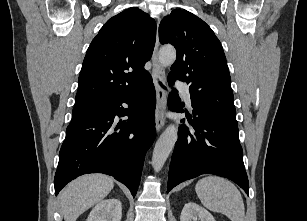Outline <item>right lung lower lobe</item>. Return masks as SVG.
<instances>
[{
    "label": "right lung lower lobe",
    "mask_w": 307,
    "mask_h": 221,
    "mask_svg": "<svg viewBox=\"0 0 307 221\" xmlns=\"http://www.w3.org/2000/svg\"><path fill=\"white\" fill-rule=\"evenodd\" d=\"M129 104V110L121 107ZM155 88L149 77L142 87L112 100L84 120L69 124L55 173V194L86 173H104L125 184L135 196L145 154L156 136ZM128 120L116 124V116Z\"/></svg>",
    "instance_id": "obj_1"
}]
</instances>
